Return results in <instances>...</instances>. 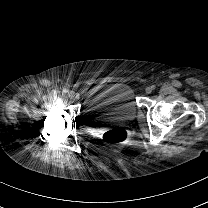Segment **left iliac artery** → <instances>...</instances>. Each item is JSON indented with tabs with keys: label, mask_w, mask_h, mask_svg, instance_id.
Segmentation results:
<instances>
[{
	"label": "left iliac artery",
	"mask_w": 208,
	"mask_h": 208,
	"mask_svg": "<svg viewBox=\"0 0 208 208\" xmlns=\"http://www.w3.org/2000/svg\"><path fill=\"white\" fill-rule=\"evenodd\" d=\"M151 88H152V89H155L156 87H155V85H152Z\"/></svg>",
	"instance_id": "left-iliac-artery-1"
}]
</instances>
